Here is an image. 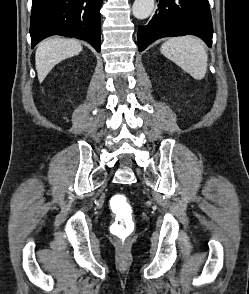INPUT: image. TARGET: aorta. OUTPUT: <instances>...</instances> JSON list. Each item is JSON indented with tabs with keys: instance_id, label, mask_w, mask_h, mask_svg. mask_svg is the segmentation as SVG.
Wrapping results in <instances>:
<instances>
[{
	"instance_id": "obj_1",
	"label": "aorta",
	"mask_w": 249,
	"mask_h": 294,
	"mask_svg": "<svg viewBox=\"0 0 249 294\" xmlns=\"http://www.w3.org/2000/svg\"><path fill=\"white\" fill-rule=\"evenodd\" d=\"M154 9V0H135L132 13L135 18L143 20L148 18Z\"/></svg>"
}]
</instances>
